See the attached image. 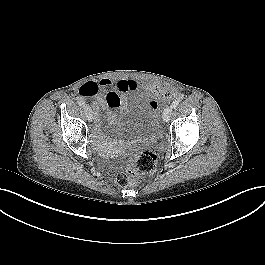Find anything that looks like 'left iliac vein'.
<instances>
[{
    "label": "left iliac vein",
    "instance_id": "1",
    "mask_svg": "<svg viewBox=\"0 0 265 265\" xmlns=\"http://www.w3.org/2000/svg\"><path fill=\"white\" fill-rule=\"evenodd\" d=\"M172 107H167L163 112V120L164 122H168L170 120V117L172 115Z\"/></svg>",
    "mask_w": 265,
    "mask_h": 265
}]
</instances>
